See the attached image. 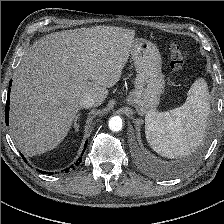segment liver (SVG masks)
I'll list each match as a JSON object with an SVG mask.
<instances>
[{"instance_id": "obj_1", "label": "liver", "mask_w": 224, "mask_h": 224, "mask_svg": "<svg viewBox=\"0 0 224 224\" xmlns=\"http://www.w3.org/2000/svg\"><path fill=\"white\" fill-rule=\"evenodd\" d=\"M135 31L114 26L78 28L35 41L13 75L10 132L26 156L56 148L92 96L101 105L122 75Z\"/></svg>"}]
</instances>
